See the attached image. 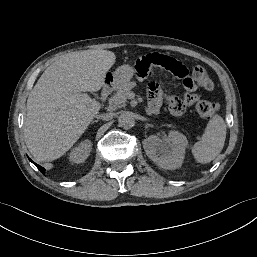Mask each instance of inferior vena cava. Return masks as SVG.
<instances>
[{
	"label": "inferior vena cava",
	"instance_id": "1",
	"mask_svg": "<svg viewBox=\"0 0 257 257\" xmlns=\"http://www.w3.org/2000/svg\"><path fill=\"white\" fill-rule=\"evenodd\" d=\"M96 118L108 121V120H111L113 118V115L111 113H104V114H101V115H96Z\"/></svg>",
	"mask_w": 257,
	"mask_h": 257
}]
</instances>
